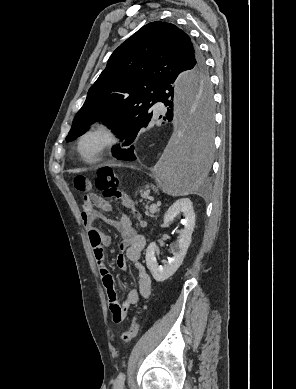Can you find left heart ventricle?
I'll list each match as a JSON object with an SVG mask.
<instances>
[{"label":"left heart ventricle","instance_id":"b2bd125f","mask_svg":"<svg viewBox=\"0 0 296 389\" xmlns=\"http://www.w3.org/2000/svg\"><path fill=\"white\" fill-rule=\"evenodd\" d=\"M98 144V140L97 139H89L86 143H85V151L87 153H92L94 151V149L96 148Z\"/></svg>","mask_w":296,"mask_h":389}]
</instances>
